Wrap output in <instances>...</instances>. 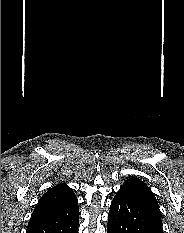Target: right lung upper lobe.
Returning a JSON list of instances; mask_svg holds the SVG:
<instances>
[{
  "instance_id": "1",
  "label": "right lung upper lobe",
  "mask_w": 184,
  "mask_h": 233,
  "mask_svg": "<svg viewBox=\"0 0 184 233\" xmlns=\"http://www.w3.org/2000/svg\"><path fill=\"white\" fill-rule=\"evenodd\" d=\"M77 198L71 188L59 184L50 188L39 200L31 218L77 207Z\"/></svg>"
}]
</instances>
